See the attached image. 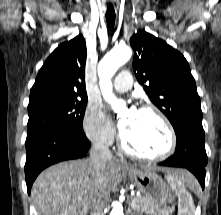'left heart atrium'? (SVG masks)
I'll use <instances>...</instances> for the list:
<instances>
[{
  "label": "left heart atrium",
  "instance_id": "1",
  "mask_svg": "<svg viewBox=\"0 0 221 215\" xmlns=\"http://www.w3.org/2000/svg\"><path fill=\"white\" fill-rule=\"evenodd\" d=\"M137 113V110L133 107L130 109L129 111V116L126 118V119H123L120 123H119V126H120V130L121 132L125 131L126 128L129 126V124L131 123V121L133 120V118L135 117Z\"/></svg>",
  "mask_w": 221,
  "mask_h": 215
}]
</instances>
